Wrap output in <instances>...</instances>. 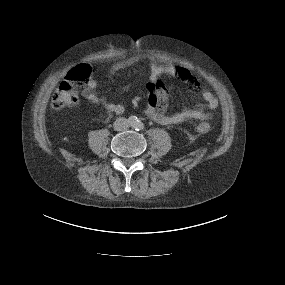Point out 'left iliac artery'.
Masks as SVG:
<instances>
[{"mask_svg": "<svg viewBox=\"0 0 285 285\" xmlns=\"http://www.w3.org/2000/svg\"><path fill=\"white\" fill-rule=\"evenodd\" d=\"M135 128H136V130H142L143 128H144V124L142 123V122H140V121H138L137 123H136V126H135Z\"/></svg>", "mask_w": 285, "mask_h": 285, "instance_id": "left-iliac-artery-1", "label": "left iliac artery"}]
</instances>
